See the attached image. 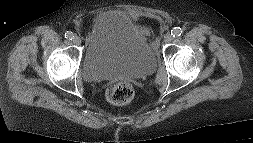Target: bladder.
I'll return each instance as SVG.
<instances>
[{
    "label": "bladder",
    "mask_w": 253,
    "mask_h": 143,
    "mask_svg": "<svg viewBox=\"0 0 253 143\" xmlns=\"http://www.w3.org/2000/svg\"><path fill=\"white\" fill-rule=\"evenodd\" d=\"M147 38L122 11L100 14L89 29L83 74L90 82L112 78H143L156 69Z\"/></svg>",
    "instance_id": "obj_1"
}]
</instances>
